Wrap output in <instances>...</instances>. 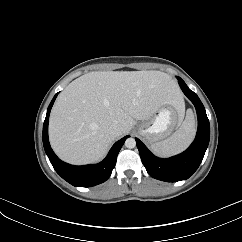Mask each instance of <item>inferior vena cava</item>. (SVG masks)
<instances>
[{"instance_id": "inferior-vena-cava-1", "label": "inferior vena cava", "mask_w": 242, "mask_h": 242, "mask_svg": "<svg viewBox=\"0 0 242 242\" xmlns=\"http://www.w3.org/2000/svg\"><path fill=\"white\" fill-rule=\"evenodd\" d=\"M121 131H122V127L119 124L115 123L109 127V132L114 136L120 135Z\"/></svg>"}]
</instances>
